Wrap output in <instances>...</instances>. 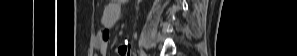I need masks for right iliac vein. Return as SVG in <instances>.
<instances>
[{
	"label": "right iliac vein",
	"mask_w": 297,
	"mask_h": 56,
	"mask_svg": "<svg viewBox=\"0 0 297 56\" xmlns=\"http://www.w3.org/2000/svg\"><path fill=\"white\" fill-rule=\"evenodd\" d=\"M140 55H141V56H147V55L145 54V52L142 51V50H140Z\"/></svg>",
	"instance_id": "right-iliac-vein-1"
}]
</instances>
